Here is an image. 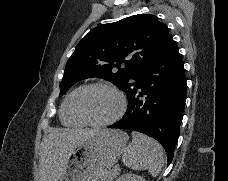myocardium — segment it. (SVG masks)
Instances as JSON below:
<instances>
[{
  "label": "myocardium",
  "mask_w": 228,
  "mask_h": 181,
  "mask_svg": "<svg viewBox=\"0 0 228 181\" xmlns=\"http://www.w3.org/2000/svg\"><path fill=\"white\" fill-rule=\"evenodd\" d=\"M94 88L109 89L112 92H114L118 98V106H117L116 110L110 116H108L102 120H99V121L88 120L85 117L83 110H82V98H83L84 94L88 90L94 89ZM75 107H76L77 115L79 116L80 119H82L85 123H87L91 126L99 127V126L108 125V124L118 120L120 117H122L127 108V100H126V97L123 94V92L120 89H118L116 86H114L110 83H107V82H95V83L88 85L80 92V94L77 97Z\"/></svg>",
  "instance_id": "f54148a6"
}]
</instances>
